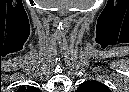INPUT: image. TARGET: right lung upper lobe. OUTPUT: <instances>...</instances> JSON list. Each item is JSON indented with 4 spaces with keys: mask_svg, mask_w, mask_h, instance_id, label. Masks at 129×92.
<instances>
[{
    "mask_svg": "<svg viewBox=\"0 0 129 92\" xmlns=\"http://www.w3.org/2000/svg\"><path fill=\"white\" fill-rule=\"evenodd\" d=\"M21 89H26V87H22Z\"/></svg>",
    "mask_w": 129,
    "mask_h": 92,
    "instance_id": "cb5924a9",
    "label": "right lung upper lobe"
}]
</instances>
